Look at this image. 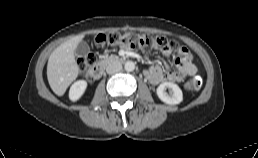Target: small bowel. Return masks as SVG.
<instances>
[{"label": "small bowel", "mask_w": 258, "mask_h": 158, "mask_svg": "<svg viewBox=\"0 0 258 158\" xmlns=\"http://www.w3.org/2000/svg\"><path fill=\"white\" fill-rule=\"evenodd\" d=\"M170 52H164L169 55ZM179 56L175 58V70H163L161 66L152 65L146 72L147 78L152 84L162 82H181L185 76L195 75L197 68L192 61V55L186 47H180Z\"/></svg>", "instance_id": "small-bowel-1"}]
</instances>
